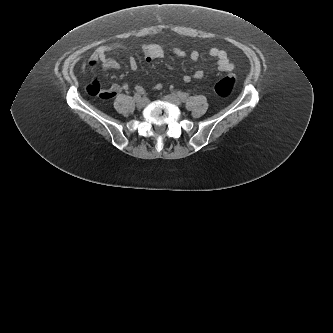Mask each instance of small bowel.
<instances>
[{
	"label": "small bowel",
	"instance_id": "small-bowel-1",
	"mask_svg": "<svg viewBox=\"0 0 333 333\" xmlns=\"http://www.w3.org/2000/svg\"><path fill=\"white\" fill-rule=\"evenodd\" d=\"M125 47L120 43H114L105 46H99L92 52L88 64L82 63L81 70H85L87 67L91 72L95 73L100 66L103 69H118L119 64L113 58L109 56L112 51L121 50ZM172 52L178 57H186L187 53L180 47L173 46L171 48ZM143 55L147 62L153 61L155 59L162 58L164 55V49L161 45L150 44L143 47ZM209 55L216 59L217 68L219 71L230 72L234 69V64L229 60L227 53L219 48H211L209 50ZM192 61H197L199 59V53L197 51H192L189 54ZM129 65L132 70L138 69V61L135 57L131 56L129 59ZM204 71L202 69L195 70L192 74H186L183 76V82L185 84L191 82L192 79H202L204 77ZM162 86L160 84H155L153 89L159 90ZM129 85L124 83L122 85L113 84L109 89L102 90L98 78L94 76L93 81L86 86V91L90 95H98L105 99H110L116 96L121 91H127ZM138 93H144V89L141 86L135 87Z\"/></svg>",
	"mask_w": 333,
	"mask_h": 333
}]
</instances>
